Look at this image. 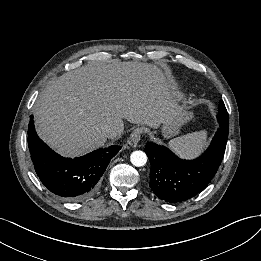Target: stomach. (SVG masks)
Instances as JSON below:
<instances>
[{
  "label": "stomach",
  "instance_id": "obj_1",
  "mask_svg": "<svg viewBox=\"0 0 261 261\" xmlns=\"http://www.w3.org/2000/svg\"><path fill=\"white\" fill-rule=\"evenodd\" d=\"M193 118V113L187 109H182L175 117L169 119L161 125V132L164 138L176 136L181 128Z\"/></svg>",
  "mask_w": 261,
  "mask_h": 261
}]
</instances>
